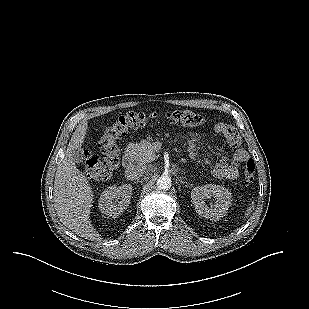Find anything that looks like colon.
Returning <instances> with one entry per match:
<instances>
[{"mask_svg": "<svg viewBox=\"0 0 309 309\" xmlns=\"http://www.w3.org/2000/svg\"><path fill=\"white\" fill-rule=\"evenodd\" d=\"M164 119L188 127L205 124L202 115L190 110H177L166 113L144 114L130 112L109 125L101 135L99 147L103 154L98 157L90 151L83 154V167L86 174L95 179L106 180L120 164V149L117 141L132 130L145 126L154 120ZM255 177V163L248 159L244 170V180L250 183Z\"/></svg>", "mask_w": 309, "mask_h": 309, "instance_id": "colon-1", "label": "colon"}]
</instances>
